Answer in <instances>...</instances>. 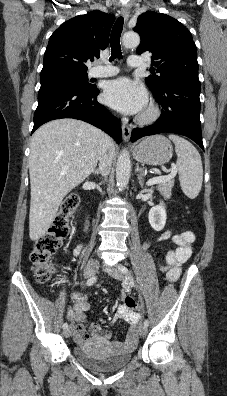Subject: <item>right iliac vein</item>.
<instances>
[{"label":"right iliac vein","instance_id":"right-iliac-vein-1","mask_svg":"<svg viewBox=\"0 0 227 396\" xmlns=\"http://www.w3.org/2000/svg\"><path fill=\"white\" fill-rule=\"evenodd\" d=\"M98 268H99L98 262L96 260H91L85 268L84 276L87 278L89 277L91 278L96 274ZM71 333H72V328L68 327L67 329L64 330L63 335L64 337L68 338L70 337Z\"/></svg>","mask_w":227,"mask_h":396}]
</instances>
